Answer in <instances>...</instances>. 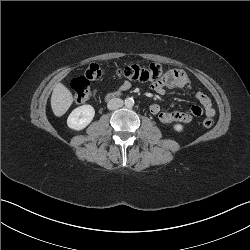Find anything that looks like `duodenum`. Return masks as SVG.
Wrapping results in <instances>:
<instances>
[{
  "label": "duodenum",
  "instance_id": "obj_1",
  "mask_svg": "<svg viewBox=\"0 0 250 250\" xmlns=\"http://www.w3.org/2000/svg\"><path fill=\"white\" fill-rule=\"evenodd\" d=\"M117 96V93H109L107 96H106V98L107 99H112V98H114V97H116Z\"/></svg>",
  "mask_w": 250,
  "mask_h": 250
}]
</instances>
